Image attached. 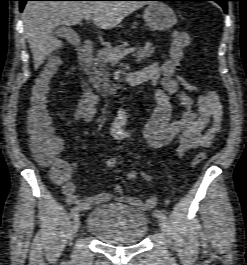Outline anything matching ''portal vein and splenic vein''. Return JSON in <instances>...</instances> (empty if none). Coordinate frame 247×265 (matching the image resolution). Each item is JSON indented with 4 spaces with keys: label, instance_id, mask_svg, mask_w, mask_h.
<instances>
[{
    "label": "portal vein and splenic vein",
    "instance_id": "obj_1",
    "mask_svg": "<svg viewBox=\"0 0 247 265\" xmlns=\"http://www.w3.org/2000/svg\"><path fill=\"white\" fill-rule=\"evenodd\" d=\"M85 19L87 21L91 20V16H85ZM136 51V48H128L125 49L123 52L119 53V54H108V59L112 62V63H118L123 57H125L126 55L133 53Z\"/></svg>",
    "mask_w": 247,
    "mask_h": 265
}]
</instances>
